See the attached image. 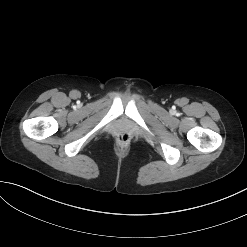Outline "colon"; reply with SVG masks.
Here are the masks:
<instances>
[{
	"mask_svg": "<svg viewBox=\"0 0 247 247\" xmlns=\"http://www.w3.org/2000/svg\"><path fill=\"white\" fill-rule=\"evenodd\" d=\"M119 139L123 142L128 141L129 140V135L127 133H122L119 135Z\"/></svg>",
	"mask_w": 247,
	"mask_h": 247,
	"instance_id": "1",
	"label": "colon"
}]
</instances>
